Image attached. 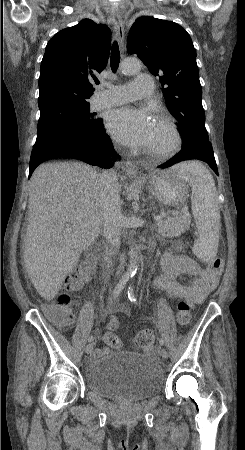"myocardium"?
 <instances>
[{
	"mask_svg": "<svg viewBox=\"0 0 245 450\" xmlns=\"http://www.w3.org/2000/svg\"><path fill=\"white\" fill-rule=\"evenodd\" d=\"M155 123L168 133L169 142L161 147H147L145 153L154 158H166L174 155L181 149L183 144V138L177 124L167 115L157 116Z\"/></svg>",
	"mask_w": 245,
	"mask_h": 450,
	"instance_id": "f54148a6",
	"label": "myocardium"
}]
</instances>
